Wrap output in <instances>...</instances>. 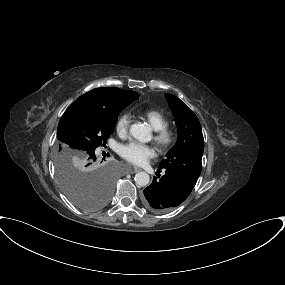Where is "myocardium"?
<instances>
[{"instance_id": "myocardium-1", "label": "myocardium", "mask_w": 285, "mask_h": 285, "mask_svg": "<svg viewBox=\"0 0 285 285\" xmlns=\"http://www.w3.org/2000/svg\"><path fill=\"white\" fill-rule=\"evenodd\" d=\"M154 140L160 149L167 151L174 145L176 141L175 133L172 129L164 127L158 130H155Z\"/></svg>"}]
</instances>
